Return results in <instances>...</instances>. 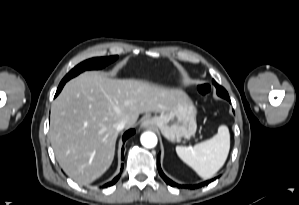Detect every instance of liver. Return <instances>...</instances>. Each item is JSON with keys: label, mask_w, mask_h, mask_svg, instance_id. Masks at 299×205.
<instances>
[{"label": "liver", "mask_w": 299, "mask_h": 205, "mask_svg": "<svg viewBox=\"0 0 299 205\" xmlns=\"http://www.w3.org/2000/svg\"><path fill=\"white\" fill-rule=\"evenodd\" d=\"M183 92L136 79H112L86 71L66 83L51 106L50 140L56 159L74 181L86 185L112 164L119 131L141 113L170 110Z\"/></svg>", "instance_id": "6515ba94"}]
</instances>
